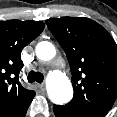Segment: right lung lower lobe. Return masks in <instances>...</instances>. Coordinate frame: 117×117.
Returning <instances> with one entry per match:
<instances>
[{"label":"right lung lower lobe","instance_id":"98d812e1","mask_svg":"<svg viewBox=\"0 0 117 117\" xmlns=\"http://www.w3.org/2000/svg\"><path fill=\"white\" fill-rule=\"evenodd\" d=\"M29 105L26 106L16 117H24L26 112H27V109H28Z\"/></svg>","mask_w":117,"mask_h":117}]
</instances>
